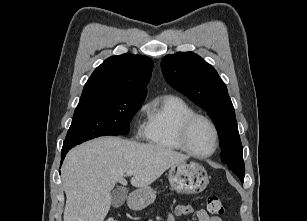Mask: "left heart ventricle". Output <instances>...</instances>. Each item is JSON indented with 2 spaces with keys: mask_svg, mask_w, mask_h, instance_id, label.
<instances>
[{
  "mask_svg": "<svg viewBox=\"0 0 307 221\" xmlns=\"http://www.w3.org/2000/svg\"><path fill=\"white\" fill-rule=\"evenodd\" d=\"M188 143L196 153H209L214 147V134L211 127L205 121L197 120L189 131Z\"/></svg>",
  "mask_w": 307,
  "mask_h": 221,
  "instance_id": "1",
  "label": "left heart ventricle"
}]
</instances>
